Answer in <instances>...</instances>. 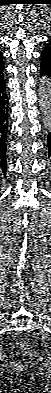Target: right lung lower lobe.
<instances>
[{
    "mask_svg": "<svg viewBox=\"0 0 51 393\" xmlns=\"http://www.w3.org/2000/svg\"><path fill=\"white\" fill-rule=\"evenodd\" d=\"M3 70L0 72V169L5 174L7 168L6 137L8 132V102Z\"/></svg>",
    "mask_w": 51,
    "mask_h": 393,
    "instance_id": "right-lung-lower-lobe-1",
    "label": "right lung lower lobe"
}]
</instances>
